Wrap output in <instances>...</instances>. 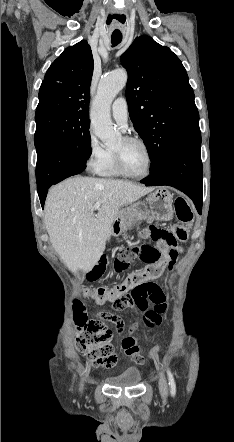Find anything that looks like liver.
Returning <instances> with one entry per match:
<instances>
[{"mask_svg":"<svg viewBox=\"0 0 234 442\" xmlns=\"http://www.w3.org/2000/svg\"><path fill=\"white\" fill-rule=\"evenodd\" d=\"M152 190L121 180L81 176L53 186L45 202L44 224L68 269L88 272L98 264L119 208ZM96 202H101L97 214Z\"/></svg>","mask_w":234,"mask_h":442,"instance_id":"liver-1","label":"liver"}]
</instances>
